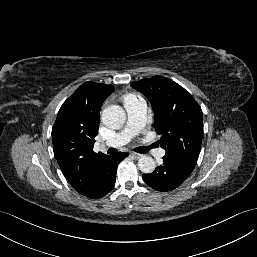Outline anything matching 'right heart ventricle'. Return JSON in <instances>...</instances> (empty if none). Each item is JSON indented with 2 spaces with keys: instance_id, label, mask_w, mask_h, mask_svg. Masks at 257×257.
Masks as SVG:
<instances>
[{
  "instance_id": "right-heart-ventricle-1",
  "label": "right heart ventricle",
  "mask_w": 257,
  "mask_h": 257,
  "mask_svg": "<svg viewBox=\"0 0 257 257\" xmlns=\"http://www.w3.org/2000/svg\"><path fill=\"white\" fill-rule=\"evenodd\" d=\"M134 97L133 96H128L126 97L125 101L129 100V99H133Z\"/></svg>"
}]
</instances>
